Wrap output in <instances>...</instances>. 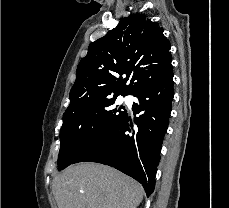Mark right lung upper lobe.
I'll use <instances>...</instances> for the list:
<instances>
[{
    "instance_id": "cb5924a9",
    "label": "right lung upper lobe",
    "mask_w": 229,
    "mask_h": 208,
    "mask_svg": "<svg viewBox=\"0 0 229 208\" xmlns=\"http://www.w3.org/2000/svg\"><path fill=\"white\" fill-rule=\"evenodd\" d=\"M171 69L170 42L163 28L143 15L123 18L116 28L89 45L78 64L63 118L101 100L134 95Z\"/></svg>"
}]
</instances>
